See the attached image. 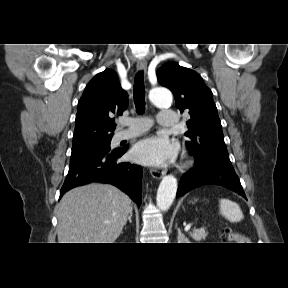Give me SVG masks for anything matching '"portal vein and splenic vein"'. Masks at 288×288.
Segmentation results:
<instances>
[{"instance_id":"1","label":"portal vein and splenic vein","mask_w":288,"mask_h":288,"mask_svg":"<svg viewBox=\"0 0 288 288\" xmlns=\"http://www.w3.org/2000/svg\"><path fill=\"white\" fill-rule=\"evenodd\" d=\"M190 228H191V224H189V225H187V226L185 227V231H189Z\"/></svg>"}]
</instances>
